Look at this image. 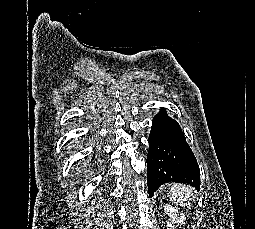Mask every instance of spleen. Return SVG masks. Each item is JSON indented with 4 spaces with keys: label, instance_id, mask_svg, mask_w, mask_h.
<instances>
[{
    "label": "spleen",
    "instance_id": "spleen-1",
    "mask_svg": "<svg viewBox=\"0 0 255 229\" xmlns=\"http://www.w3.org/2000/svg\"><path fill=\"white\" fill-rule=\"evenodd\" d=\"M196 192L193 188L184 184H173L169 191V198L176 205L190 207V201L195 197Z\"/></svg>",
    "mask_w": 255,
    "mask_h": 229
}]
</instances>
